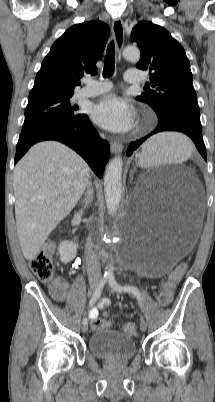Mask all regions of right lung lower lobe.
I'll list each match as a JSON object with an SVG mask.
<instances>
[{"label":"right lung lower lobe","instance_id":"obj_1","mask_svg":"<svg viewBox=\"0 0 215 402\" xmlns=\"http://www.w3.org/2000/svg\"><path fill=\"white\" fill-rule=\"evenodd\" d=\"M44 140H56L66 144L80 154L95 174L102 178L110 156V147L107 141L98 136L86 115L64 126L43 132L27 143L17 145L15 163L33 144Z\"/></svg>","mask_w":215,"mask_h":402}]
</instances>
